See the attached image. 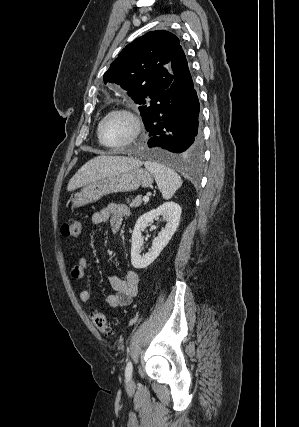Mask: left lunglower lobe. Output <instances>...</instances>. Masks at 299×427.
I'll use <instances>...</instances> for the list:
<instances>
[{"instance_id": "obj_1", "label": "left lung lower lobe", "mask_w": 299, "mask_h": 427, "mask_svg": "<svg viewBox=\"0 0 299 427\" xmlns=\"http://www.w3.org/2000/svg\"><path fill=\"white\" fill-rule=\"evenodd\" d=\"M173 81L142 115L149 136L148 153L157 160L179 163L201 153L200 104L182 47L171 62Z\"/></svg>"}]
</instances>
